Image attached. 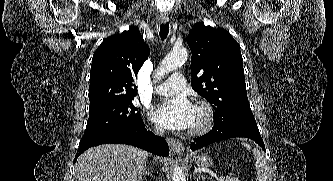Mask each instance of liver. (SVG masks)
<instances>
[{
	"label": "liver",
	"instance_id": "6515ba94",
	"mask_svg": "<svg viewBox=\"0 0 333 181\" xmlns=\"http://www.w3.org/2000/svg\"><path fill=\"white\" fill-rule=\"evenodd\" d=\"M148 155L122 144L90 148L77 159L76 181H141Z\"/></svg>",
	"mask_w": 333,
	"mask_h": 181
}]
</instances>
